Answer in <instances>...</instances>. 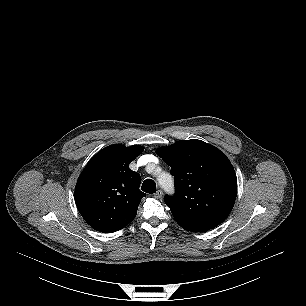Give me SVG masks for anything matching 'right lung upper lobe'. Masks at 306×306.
<instances>
[{"instance_id":"obj_1","label":"right lung upper lobe","mask_w":306,"mask_h":306,"mask_svg":"<svg viewBox=\"0 0 306 306\" xmlns=\"http://www.w3.org/2000/svg\"><path fill=\"white\" fill-rule=\"evenodd\" d=\"M140 145H110L86 165L75 187L76 206L95 230L111 233L124 228L137 214L141 177L129 164L143 152Z\"/></svg>"}]
</instances>
